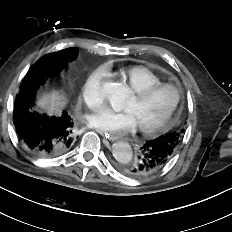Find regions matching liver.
<instances>
[{
	"label": "liver",
	"instance_id": "1",
	"mask_svg": "<svg viewBox=\"0 0 232 232\" xmlns=\"http://www.w3.org/2000/svg\"><path fill=\"white\" fill-rule=\"evenodd\" d=\"M39 104L49 115H52L60 113V109L65 106L66 101L63 95L53 92L50 95L44 96Z\"/></svg>",
	"mask_w": 232,
	"mask_h": 232
}]
</instances>
